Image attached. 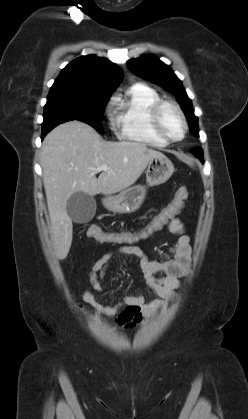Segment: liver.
<instances>
[{
  "instance_id": "1",
  "label": "liver",
  "mask_w": 248,
  "mask_h": 419,
  "mask_svg": "<svg viewBox=\"0 0 248 419\" xmlns=\"http://www.w3.org/2000/svg\"><path fill=\"white\" fill-rule=\"evenodd\" d=\"M155 157L164 154L138 142H106L91 126L74 120L54 128L43 141L40 164L57 257L64 260L73 226L66 206L76 192L114 194L133 185ZM107 165L96 177L93 169Z\"/></svg>"
}]
</instances>
